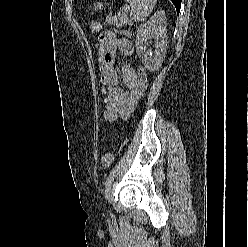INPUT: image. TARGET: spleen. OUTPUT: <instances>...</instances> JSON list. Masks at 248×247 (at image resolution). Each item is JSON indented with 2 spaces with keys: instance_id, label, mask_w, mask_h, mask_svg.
<instances>
[{
  "instance_id": "1",
  "label": "spleen",
  "mask_w": 248,
  "mask_h": 247,
  "mask_svg": "<svg viewBox=\"0 0 248 247\" xmlns=\"http://www.w3.org/2000/svg\"><path fill=\"white\" fill-rule=\"evenodd\" d=\"M131 5L130 18L132 21H144L152 12L157 0H126Z\"/></svg>"
}]
</instances>
